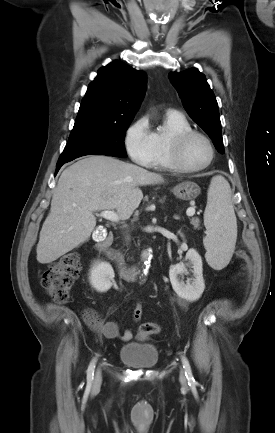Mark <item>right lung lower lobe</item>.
Returning a JSON list of instances; mask_svg holds the SVG:
<instances>
[{
  "instance_id": "obj_1",
  "label": "right lung lower lobe",
  "mask_w": 275,
  "mask_h": 433,
  "mask_svg": "<svg viewBox=\"0 0 275 433\" xmlns=\"http://www.w3.org/2000/svg\"><path fill=\"white\" fill-rule=\"evenodd\" d=\"M63 164H64V163H59V164L57 163V166H56V167H57V169H56V173L59 171V169L61 168V166H62Z\"/></svg>"
}]
</instances>
